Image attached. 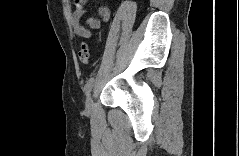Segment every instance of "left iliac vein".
I'll list each match as a JSON object with an SVG mask.
<instances>
[{
  "mask_svg": "<svg viewBox=\"0 0 239 156\" xmlns=\"http://www.w3.org/2000/svg\"><path fill=\"white\" fill-rule=\"evenodd\" d=\"M92 95L89 93L86 98V108L90 110L92 108Z\"/></svg>",
  "mask_w": 239,
  "mask_h": 156,
  "instance_id": "obj_1",
  "label": "left iliac vein"
}]
</instances>
